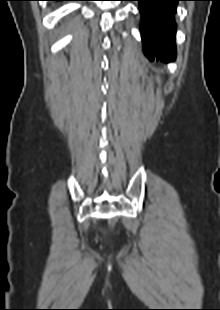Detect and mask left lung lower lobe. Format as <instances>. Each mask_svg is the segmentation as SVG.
<instances>
[{
    "label": "left lung lower lobe",
    "mask_w": 220,
    "mask_h": 310,
    "mask_svg": "<svg viewBox=\"0 0 220 310\" xmlns=\"http://www.w3.org/2000/svg\"><path fill=\"white\" fill-rule=\"evenodd\" d=\"M139 1L142 15L141 37L144 53L150 59L174 61L176 58L174 15L178 1L182 0H134Z\"/></svg>",
    "instance_id": "1"
}]
</instances>
